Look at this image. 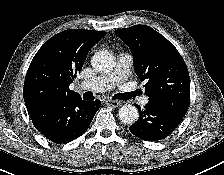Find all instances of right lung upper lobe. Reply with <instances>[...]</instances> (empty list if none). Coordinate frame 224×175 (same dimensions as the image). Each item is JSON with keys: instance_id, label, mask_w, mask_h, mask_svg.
I'll list each match as a JSON object with an SVG mask.
<instances>
[{"instance_id": "obj_1", "label": "right lung upper lobe", "mask_w": 224, "mask_h": 175, "mask_svg": "<svg viewBox=\"0 0 224 175\" xmlns=\"http://www.w3.org/2000/svg\"><path fill=\"white\" fill-rule=\"evenodd\" d=\"M103 31L66 30L50 38L34 56L24 81L26 107L58 98L80 96L69 85L82 69L90 49Z\"/></svg>"}]
</instances>
